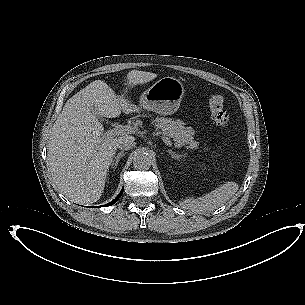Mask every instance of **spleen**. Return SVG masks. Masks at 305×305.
<instances>
[{
    "label": "spleen",
    "mask_w": 305,
    "mask_h": 305,
    "mask_svg": "<svg viewBox=\"0 0 305 305\" xmlns=\"http://www.w3.org/2000/svg\"><path fill=\"white\" fill-rule=\"evenodd\" d=\"M233 185L234 182H227L202 197L188 198L182 203V207L194 214L212 212L229 200Z\"/></svg>",
    "instance_id": "1"
}]
</instances>
